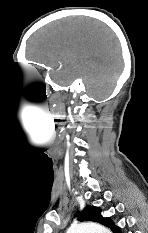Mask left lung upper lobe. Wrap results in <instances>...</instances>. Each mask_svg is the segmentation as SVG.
I'll list each match as a JSON object with an SVG mask.
<instances>
[{"instance_id": "5c2ea615", "label": "left lung upper lobe", "mask_w": 148, "mask_h": 233, "mask_svg": "<svg viewBox=\"0 0 148 233\" xmlns=\"http://www.w3.org/2000/svg\"><path fill=\"white\" fill-rule=\"evenodd\" d=\"M79 221H93L109 227L114 233H120L119 227L115 226L111 218L103 217L101 209L94 206H86L79 216Z\"/></svg>"}]
</instances>
